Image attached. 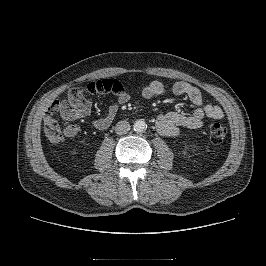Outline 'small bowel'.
I'll return each instance as SVG.
<instances>
[{
    "label": "small bowel",
    "mask_w": 266,
    "mask_h": 266,
    "mask_svg": "<svg viewBox=\"0 0 266 266\" xmlns=\"http://www.w3.org/2000/svg\"><path fill=\"white\" fill-rule=\"evenodd\" d=\"M164 91V85L160 81H152L144 87L142 96L145 99L152 98L161 94ZM172 92L176 96H184L191 102L193 108L190 114L180 112H168L161 114L156 120L157 131L167 137H178L183 129L197 130L204 124V119H221L223 111L221 108L212 103H203L201 92L193 85L178 81L172 86ZM129 95L123 90L118 94L116 103L109 106L106 114L93 121V126L98 130L107 129L117 115L119 106L128 102ZM53 111L60 114L64 122H71L85 118L91 111V103L83 95L71 96L68 95L66 100L55 101L51 106ZM80 128L76 125H68L63 130V136L75 137L79 134ZM46 135L49 141L53 144H58L62 141L63 136L57 132H48Z\"/></svg>",
    "instance_id": "c3829d8e"
}]
</instances>
